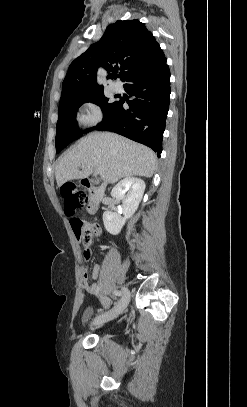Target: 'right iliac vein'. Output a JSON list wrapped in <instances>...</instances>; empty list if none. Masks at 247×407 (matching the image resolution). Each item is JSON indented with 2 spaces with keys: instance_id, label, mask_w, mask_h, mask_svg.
Segmentation results:
<instances>
[{
  "instance_id": "obj_1",
  "label": "right iliac vein",
  "mask_w": 247,
  "mask_h": 407,
  "mask_svg": "<svg viewBox=\"0 0 247 407\" xmlns=\"http://www.w3.org/2000/svg\"><path fill=\"white\" fill-rule=\"evenodd\" d=\"M122 292H123V295H122L120 302L106 314H103V315L97 317L94 320V322L92 323V325L100 326L110 320H113L114 318H116L119 314H121L124 311V309L127 307L129 300H130V292L126 287L122 288Z\"/></svg>"
}]
</instances>
